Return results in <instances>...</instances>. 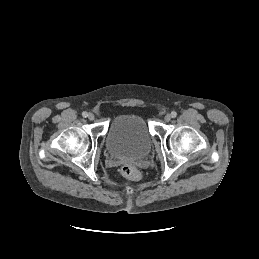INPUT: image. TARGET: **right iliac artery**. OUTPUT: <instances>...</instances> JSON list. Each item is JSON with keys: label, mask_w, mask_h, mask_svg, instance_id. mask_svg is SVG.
Instances as JSON below:
<instances>
[{"label": "right iliac artery", "mask_w": 259, "mask_h": 259, "mask_svg": "<svg viewBox=\"0 0 259 259\" xmlns=\"http://www.w3.org/2000/svg\"><path fill=\"white\" fill-rule=\"evenodd\" d=\"M82 116L83 117H87L88 116V113L86 111L82 112Z\"/></svg>", "instance_id": "82829eb1"}]
</instances>
